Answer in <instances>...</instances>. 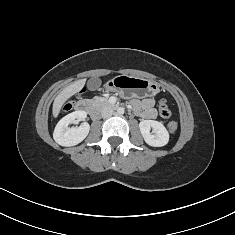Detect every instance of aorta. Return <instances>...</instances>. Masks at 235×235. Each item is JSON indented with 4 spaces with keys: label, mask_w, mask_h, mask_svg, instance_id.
<instances>
[{
    "label": "aorta",
    "mask_w": 235,
    "mask_h": 235,
    "mask_svg": "<svg viewBox=\"0 0 235 235\" xmlns=\"http://www.w3.org/2000/svg\"><path fill=\"white\" fill-rule=\"evenodd\" d=\"M124 108L123 107H119L118 109H117V113L119 114V115H122V114H124Z\"/></svg>",
    "instance_id": "obj_1"
}]
</instances>
